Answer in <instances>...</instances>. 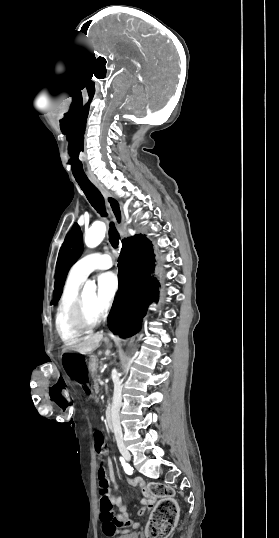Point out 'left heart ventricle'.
Segmentation results:
<instances>
[{
  "instance_id": "left-heart-ventricle-1",
  "label": "left heart ventricle",
  "mask_w": 279,
  "mask_h": 538,
  "mask_svg": "<svg viewBox=\"0 0 279 538\" xmlns=\"http://www.w3.org/2000/svg\"><path fill=\"white\" fill-rule=\"evenodd\" d=\"M85 298L88 302V305L90 307V309L95 312V313H98V312H101V308L98 304V292L95 290H91V291H85Z\"/></svg>"
}]
</instances>
